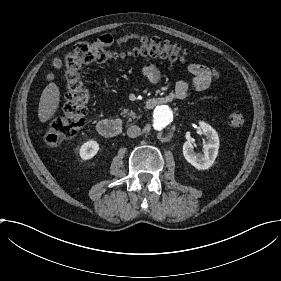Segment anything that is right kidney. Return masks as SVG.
Masks as SVG:
<instances>
[{"label": "right kidney", "instance_id": "ca27d5eb", "mask_svg": "<svg viewBox=\"0 0 281 281\" xmlns=\"http://www.w3.org/2000/svg\"><path fill=\"white\" fill-rule=\"evenodd\" d=\"M100 150V145L95 140L84 142L79 148V158L81 161H88L96 156Z\"/></svg>", "mask_w": 281, "mask_h": 281}]
</instances>
